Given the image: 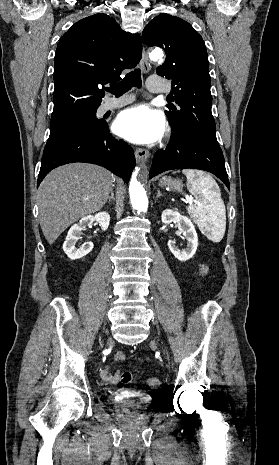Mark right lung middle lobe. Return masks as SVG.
Wrapping results in <instances>:
<instances>
[{
  "label": "right lung middle lobe",
  "mask_w": 279,
  "mask_h": 465,
  "mask_svg": "<svg viewBox=\"0 0 279 465\" xmlns=\"http://www.w3.org/2000/svg\"><path fill=\"white\" fill-rule=\"evenodd\" d=\"M106 124L96 118V109L80 114L68 121L51 126L50 136L44 148L43 154L59 146L61 143L85 131L98 129Z\"/></svg>",
  "instance_id": "obj_1"
}]
</instances>
